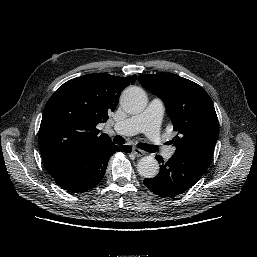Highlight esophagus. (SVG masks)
I'll return each instance as SVG.
<instances>
[{"instance_id":"34e87169","label":"esophagus","mask_w":257,"mask_h":257,"mask_svg":"<svg viewBox=\"0 0 257 257\" xmlns=\"http://www.w3.org/2000/svg\"><path fill=\"white\" fill-rule=\"evenodd\" d=\"M132 152L137 157H141L145 154L144 151H142L141 149L135 148V147L132 149Z\"/></svg>"}]
</instances>
